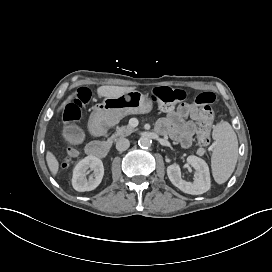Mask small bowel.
Here are the masks:
<instances>
[{"label": "small bowel", "mask_w": 272, "mask_h": 272, "mask_svg": "<svg viewBox=\"0 0 272 272\" xmlns=\"http://www.w3.org/2000/svg\"><path fill=\"white\" fill-rule=\"evenodd\" d=\"M164 109L166 116L156 122V132L170 136L184 148L190 147L194 134L200 129L197 105L182 102L175 109L172 107Z\"/></svg>", "instance_id": "small-bowel-1"}]
</instances>
